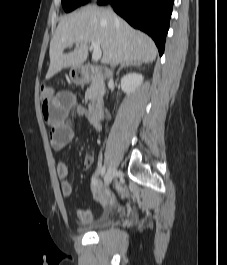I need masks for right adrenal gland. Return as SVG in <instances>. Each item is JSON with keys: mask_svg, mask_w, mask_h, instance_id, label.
I'll return each mask as SVG.
<instances>
[{"mask_svg": "<svg viewBox=\"0 0 227 265\" xmlns=\"http://www.w3.org/2000/svg\"><path fill=\"white\" fill-rule=\"evenodd\" d=\"M140 65H141V62H139V61L124 62V63L121 64L120 68L118 69L117 74L120 73L122 68L129 67V66H140Z\"/></svg>", "mask_w": 227, "mask_h": 265, "instance_id": "right-adrenal-gland-1", "label": "right adrenal gland"}]
</instances>
